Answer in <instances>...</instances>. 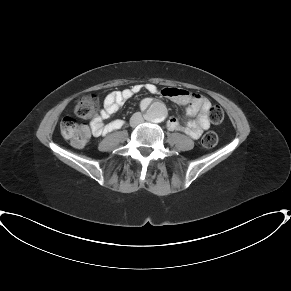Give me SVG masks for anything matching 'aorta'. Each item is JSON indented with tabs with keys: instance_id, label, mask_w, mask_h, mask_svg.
Masks as SVG:
<instances>
[{
	"instance_id": "aorta-1",
	"label": "aorta",
	"mask_w": 291,
	"mask_h": 291,
	"mask_svg": "<svg viewBox=\"0 0 291 291\" xmlns=\"http://www.w3.org/2000/svg\"><path fill=\"white\" fill-rule=\"evenodd\" d=\"M166 107L161 103H153L147 110V118L152 122H161L166 117Z\"/></svg>"
}]
</instances>
